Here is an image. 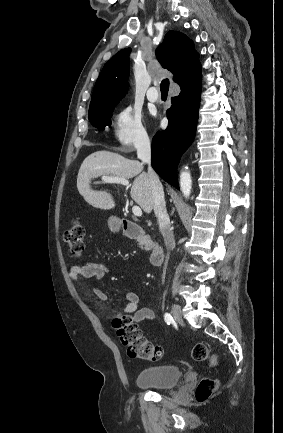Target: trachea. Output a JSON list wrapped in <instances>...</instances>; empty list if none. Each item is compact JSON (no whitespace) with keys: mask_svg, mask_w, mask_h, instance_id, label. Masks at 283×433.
<instances>
[{"mask_svg":"<svg viewBox=\"0 0 283 433\" xmlns=\"http://www.w3.org/2000/svg\"><path fill=\"white\" fill-rule=\"evenodd\" d=\"M160 89L162 93H168L169 90V80L167 78H165L164 80H162L161 85H160Z\"/></svg>","mask_w":283,"mask_h":433,"instance_id":"1","label":"trachea"}]
</instances>
